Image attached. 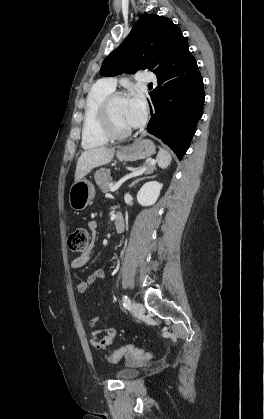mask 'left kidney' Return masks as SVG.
Listing matches in <instances>:
<instances>
[{
    "label": "left kidney",
    "mask_w": 264,
    "mask_h": 419,
    "mask_svg": "<svg viewBox=\"0 0 264 419\" xmlns=\"http://www.w3.org/2000/svg\"><path fill=\"white\" fill-rule=\"evenodd\" d=\"M162 184L157 181H150L145 183L137 194V201L142 206H151L157 201Z\"/></svg>",
    "instance_id": "1"
}]
</instances>
